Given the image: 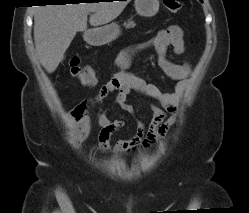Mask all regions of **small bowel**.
I'll return each mask as SVG.
<instances>
[{"instance_id":"1","label":"small bowel","mask_w":249,"mask_h":213,"mask_svg":"<svg viewBox=\"0 0 249 213\" xmlns=\"http://www.w3.org/2000/svg\"><path fill=\"white\" fill-rule=\"evenodd\" d=\"M148 47L155 48L159 68L169 78L178 81L173 92H164L157 85L126 72V68L130 65L135 55ZM169 47H172L176 54L184 52L183 31L177 25H171L160 30L146 43L124 50L117 59L116 71L100 87L98 93L71 110L70 116L77 125V136L83 139L89 134L91 126L88 115L89 110L94 105L101 104L111 92L117 91L114 104L130 114L134 113L132 105L127 103L128 95L131 92H137L144 97L153 99L160 106L151 105L153 116L148 126L145 127L141 121H138L133 137L117 141L113 147L114 152L127 154L138 148H149L156 141L163 138L170 126L176 121L178 105L192 72V67L189 63L176 64L167 58ZM167 113L169 116H167ZM97 122L101 127L98 134L99 149L103 152L109 151L111 148L109 144L110 137L119 131L125 125V122L122 119L111 120L108 116V111L102 108L98 112Z\"/></svg>"}]
</instances>
